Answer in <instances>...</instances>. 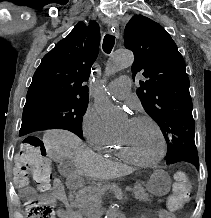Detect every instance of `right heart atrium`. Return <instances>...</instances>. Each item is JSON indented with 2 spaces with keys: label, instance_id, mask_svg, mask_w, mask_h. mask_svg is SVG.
Instances as JSON below:
<instances>
[{
  "label": "right heart atrium",
  "instance_id": "right-heart-atrium-1",
  "mask_svg": "<svg viewBox=\"0 0 211 218\" xmlns=\"http://www.w3.org/2000/svg\"><path fill=\"white\" fill-rule=\"evenodd\" d=\"M81 129L89 144L95 149L100 148L115 137L107 130L99 113L92 108H87L84 112Z\"/></svg>",
  "mask_w": 211,
  "mask_h": 218
}]
</instances>
